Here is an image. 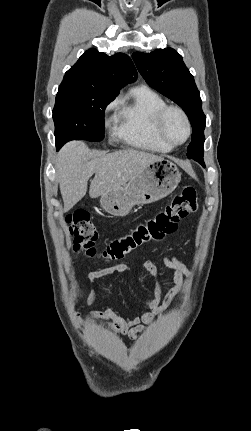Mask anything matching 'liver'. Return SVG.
Masks as SVG:
<instances>
[{"label": "liver", "instance_id": "liver-1", "mask_svg": "<svg viewBox=\"0 0 251 431\" xmlns=\"http://www.w3.org/2000/svg\"><path fill=\"white\" fill-rule=\"evenodd\" d=\"M163 158L145 151L125 149L113 153L91 151L82 141L67 143L56 159V177L64 202V212L72 209L86 194L89 178L95 174L89 196L127 184L146 165Z\"/></svg>", "mask_w": 251, "mask_h": 431}]
</instances>
